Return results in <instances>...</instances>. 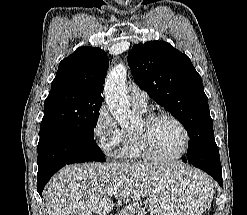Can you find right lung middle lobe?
Masks as SVG:
<instances>
[{
	"instance_id": "1",
	"label": "right lung middle lobe",
	"mask_w": 247,
	"mask_h": 215,
	"mask_svg": "<svg viewBox=\"0 0 247 215\" xmlns=\"http://www.w3.org/2000/svg\"><path fill=\"white\" fill-rule=\"evenodd\" d=\"M102 101L74 94L69 89L50 92L45 100L40 137L51 131H71L94 140Z\"/></svg>"
}]
</instances>
